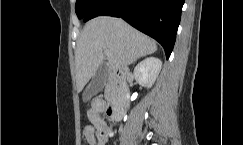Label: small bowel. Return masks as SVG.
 Returning <instances> with one entry per match:
<instances>
[{"mask_svg": "<svg viewBox=\"0 0 243 145\" xmlns=\"http://www.w3.org/2000/svg\"><path fill=\"white\" fill-rule=\"evenodd\" d=\"M105 110V102L102 99H96L87 113L88 119L96 127L95 133L87 138L90 145H105L109 137L113 136L110 128L99 116Z\"/></svg>", "mask_w": 243, "mask_h": 145, "instance_id": "c3829d8e", "label": "small bowel"}]
</instances>
